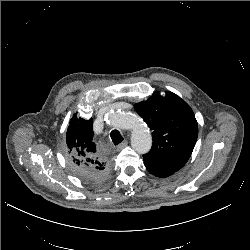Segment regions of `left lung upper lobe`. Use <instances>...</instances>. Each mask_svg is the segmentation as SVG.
<instances>
[{
	"instance_id": "obj_1",
	"label": "left lung upper lobe",
	"mask_w": 250,
	"mask_h": 250,
	"mask_svg": "<svg viewBox=\"0 0 250 250\" xmlns=\"http://www.w3.org/2000/svg\"><path fill=\"white\" fill-rule=\"evenodd\" d=\"M134 107L153 131L152 148L143 155L144 163L170 172L181 169L198 136V124L190 106L172 92H166L164 97L155 92Z\"/></svg>"
}]
</instances>
